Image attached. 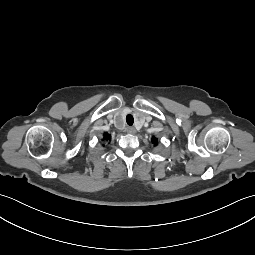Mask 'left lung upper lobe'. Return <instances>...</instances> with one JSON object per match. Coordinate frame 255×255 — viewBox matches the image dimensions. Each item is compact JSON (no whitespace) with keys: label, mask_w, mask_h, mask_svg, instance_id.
<instances>
[{"label":"left lung upper lobe","mask_w":255,"mask_h":255,"mask_svg":"<svg viewBox=\"0 0 255 255\" xmlns=\"http://www.w3.org/2000/svg\"><path fill=\"white\" fill-rule=\"evenodd\" d=\"M152 142L157 144V139L155 137H152Z\"/></svg>","instance_id":"1"}]
</instances>
